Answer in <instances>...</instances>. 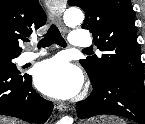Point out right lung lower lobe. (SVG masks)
Wrapping results in <instances>:
<instances>
[{"instance_id":"right-lung-lower-lobe-1","label":"right lung lower lobe","mask_w":145,"mask_h":124,"mask_svg":"<svg viewBox=\"0 0 145 124\" xmlns=\"http://www.w3.org/2000/svg\"><path fill=\"white\" fill-rule=\"evenodd\" d=\"M31 80L30 75L0 65V115L39 124L47 121L53 104L36 93Z\"/></svg>"}]
</instances>
